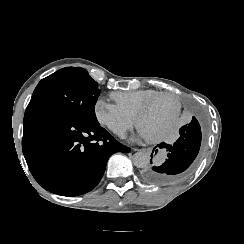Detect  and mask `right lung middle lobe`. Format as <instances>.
I'll return each mask as SVG.
<instances>
[{
	"mask_svg": "<svg viewBox=\"0 0 244 244\" xmlns=\"http://www.w3.org/2000/svg\"><path fill=\"white\" fill-rule=\"evenodd\" d=\"M100 90L88 72L67 67L42 79L35 88L26 110H53L75 119L97 121L95 104Z\"/></svg>",
	"mask_w": 244,
	"mask_h": 244,
	"instance_id": "obj_1",
	"label": "right lung middle lobe"
}]
</instances>
